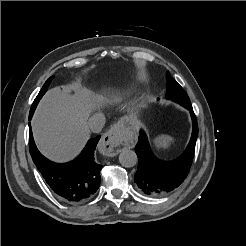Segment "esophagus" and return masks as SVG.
Instances as JSON below:
<instances>
[{
    "label": "esophagus",
    "instance_id": "esophagus-1",
    "mask_svg": "<svg viewBox=\"0 0 246 246\" xmlns=\"http://www.w3.org/2000/svg\"><path fill=\"white\" fill-rule=\"evenodd\" d=\"M122 141V128L120 125L113 126L103 134L99 142V151L106 156H115L120 150L117 149Z\"/></svg>",
    "mask_w": 246,
    "mask_h": 246
}]
</instances>
